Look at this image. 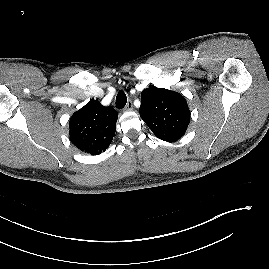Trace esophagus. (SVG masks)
Here are the masks:
<instances>
[{
  "mask_svg": "<svg viewBox=\"0 0 269 269\" xmlns=\"http://www.w3.org/2000/svg\"><path fill=\"white\" fill-rule=\"evenodd\" d=\"M133 109V103L131 100H129L124 108L125 111H130Z\"/></svg>",
  "mask_w": 269,
  "mask_h": 269,
  "instance_id": "34e87169",
  "label": "esophagus"
}]
</instances>
